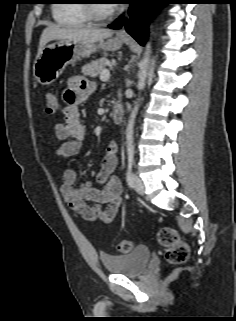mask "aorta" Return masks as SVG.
Listing matches in <instances>:
<instances>
[{
    "label": "aorta",
    "mask_w": 236,
    "mask_h": 321,
    "mask_svg": "<svg viewBox=\"0 0 236 321\" xmlns=\"http://www.w3.org/2000/svg\"><path fill=\"white\" fill-rule=\"evenodd\" d=\"M150 32H152V25H150ZM145 48H146V51L144 53V57L139 64L138 85H137L139 89H143L145 87V83H146L149 55H150V51H151V40H149L146 43ZM138 101H139V99H138ZM138 109H139V103L136 102L135 106L130 114L127 128H126V140H127V149L128 150L133 149L134 122H135V118H136Z\"/></svg>",
    "instance_id": "762f6f07"
}]
</instances>
